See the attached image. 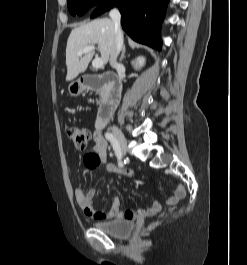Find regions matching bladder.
Returning <instances> with one entry per match:
<instances>
[{
    "mask_svg": "<svg viewBox=\"0 0 247 265\" xmlns=\"http://www.w3.org/2000/svg\"><path fill=\"white\" fill-rule=\"evenodd\" d=\"M93 226L116 238H122L128 236L133 231V223L128 219H117L112 221H95Z\"/></svg>",
    "mask_w": 247,
    "mask_h": 265,
    "instance_id": "1",
    "label": "bladder"
}]
</instances>
